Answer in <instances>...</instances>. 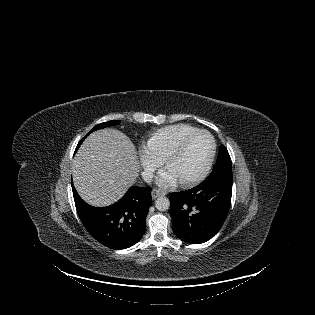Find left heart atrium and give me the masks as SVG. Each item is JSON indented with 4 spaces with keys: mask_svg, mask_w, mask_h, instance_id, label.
I'll return each instance as SVG.
<instances>
[{
    "mask_svg": "<svg viewBox=\"0 0 315 315\" xmlns=\"http://www.w3.org/2000/svg\"><path fill=\"white\" fill-rule=\"evenodd\" d=\"M177 177L169 170L164 171L158 178V183L161 186H172L177 182Z\"/></svg>",
    "mask_w": 315,
    "mask_h": 315,
    "instance_id": "39dd6f15",
    "label": "left heart atrium"
}]
</instances>
